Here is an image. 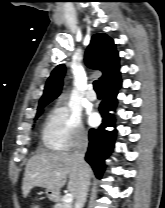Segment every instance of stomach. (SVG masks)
<instances>
[{
    "label": "stomach",
    "mask_w": 165,
    "mask_h": 208,
    "mask_svg": "<svg viewBox=\"0 0 165 208\" xmlns=\"http://www.w3.org/2000/svg\"><path fill=\"white\" fill-rule=\"evenodd\" d=\"M46 194H47L48 198L52 201H56L59 198V193L54 190H46Z\"/></svg>",
    "instance_id": "1"
}]
</instances>
